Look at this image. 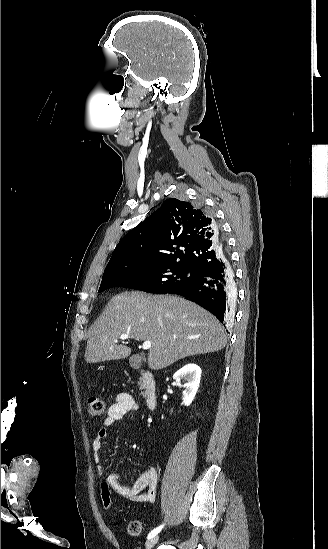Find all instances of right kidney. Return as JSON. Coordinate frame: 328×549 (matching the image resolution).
Masks as SVG:
<instances>
[{
	"label": "right kidney",
	"mask_w": 328,
	"mask_h": 549,
	"mask_svg": "<svg viewBox=\"0 0 328 549\" xmlns=\"http://www.w3.org/2000/svg\"><path fill=\"white\" fill-rule=\"evenodd\" d=\"M200 377L201 369L198 365H195V363H188V365H185V367H182V369H179V371L173 375V379H175L178 387H185V391H183V403L186 407L191 405L198 391ZM182 379L187 381L185 385H181L180 381H182Z\"/></svg>",
	"instance_id": "right-kidney-1"
}]
</instances>
